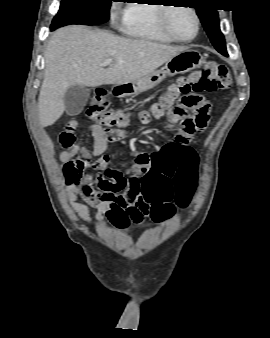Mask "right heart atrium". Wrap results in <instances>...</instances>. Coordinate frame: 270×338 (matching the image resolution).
<instances>
[{"label": "right heart atrium", "instance_id": "right-heart-atrium-1", "mask_svg": "<svg viewBox=\"0 0 270 338\" xmlns=\"http://www.w3.org/2000/svg\"><path fill=\"white\" fill-rule=\"evenodd\" d=\"M125 18H126V13L120 19L122 24L125 21ZM112 21H113V23H117L119 21L118 8L117 7H114L113 10H112Z\"/></svg>", "mask_w": 270, "mask_h": 338}]
</instances>
